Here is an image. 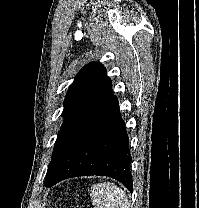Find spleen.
I'll list each match as a JSON object with an SVG mask.
<instances>
[{
  "mask_svg": "<svg viewBox=\"0 0 199 208\" xmlns=\"http://www.w3.org/2000/svg\"><path fill=\"white\" fill-rule=\"evenodd\" d=\"M90 196L95 208H130L126 193L110 182L93 185Z\"/></svg>",
  "mask_w": 199,
  "mask_h": 208,
  "instance_id": "3e777b00",
  "label": "spleen"
}]
</instances>
